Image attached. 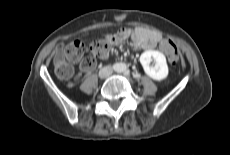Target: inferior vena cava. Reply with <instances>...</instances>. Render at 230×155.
<instances>
[{"label":"inferior vena cava","instance_id":"602c4592","mask_svg":"<svg viewBox=\"0 0 230 155\" xmlns=\"http://www.w3.org/2000/svg\"><path fill=\"white\" fill-rule=\"evenodd\" d=\"M112 72H113L112 68L107 66V67L102 68L99 71V75H100V77L106 78V77L110 76L112 74Z\"/></svg>","mask_w":230,"mask_h":155}]
</instances>
